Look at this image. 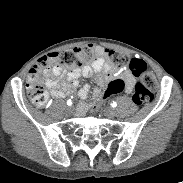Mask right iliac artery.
<instances>
[{"label":"right iliac artery","instance_id":"82829eb1","mask_svg":"<svg viewBox=\"0 0 183 183\" xmlns=\"http://www.w3.org/2000/svg\"><path fill=\"white\" fill-rule=\"evenodd\" d=\"M67 105L71 106L72 105V101L71 100H68L67 101Z\"/></svg>","mask_w":183,"mask_h":183}]
</instances>
